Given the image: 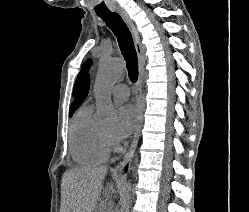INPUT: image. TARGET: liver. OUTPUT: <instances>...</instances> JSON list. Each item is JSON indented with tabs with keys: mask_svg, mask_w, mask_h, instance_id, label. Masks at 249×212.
<instances>
[{
	"mask_svg": "<svg viewBox=\"0 0 249 212\" xmlns=\"http://www.w3.org/2000/svg\"><path fill=\"white\" fill-rule=\"evenodd\" d=\"M107 172V166H85L65 172L67 212H95Z\"/></svg>",
	"mask_w": 249,
	"mask_h": 212,
	"instance_id": "1",
	"label": "liver"
}]
</instances>
